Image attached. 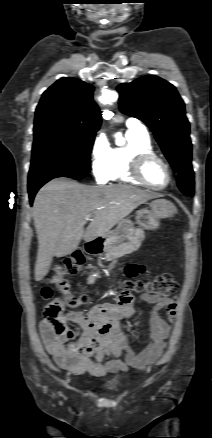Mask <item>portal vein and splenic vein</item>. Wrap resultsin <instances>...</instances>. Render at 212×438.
<instances>
[{
  "mask_svg": "<svg viewBox=\"0 0 212 438\" xmlns=\"http://www.w3.org/2000/svg\"><path fill=\"white\" fill-rule=\"evenodd\" d=\"M86 219L92 221V220H94V217H92V216H87Z\"/></svg>",
  "mask_w": 212,
  "mask_h": 438,
  "instance_id": "obj_1",
  "label": "portal vein and splenic vein"
}]
</instances>
